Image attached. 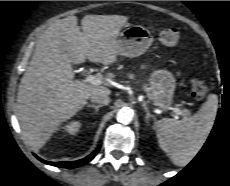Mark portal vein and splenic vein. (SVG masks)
Returning a JSON list of instances; mask_svg holds the SVG:
<instances>
[{"label":"portal vein and splenic vein","instance_id":"portal-vein-and-splenic-vein-1","mask_svg":"<svg viewBox=\"0 0 230 186\" xmlns=\"http://www.w3.org/2000/svg\"><path fill=\"white\" fill-rule=\"evenodd\" d=\"M85 81L90 83V84H93V85H100L102 83V80L100 79V77H98L96 75L86 76ZM173 111L176 115L182 114V111L177 107L173 108Z\"/></svg>","mask_w":230,"mask_h":186}]
</instances>
